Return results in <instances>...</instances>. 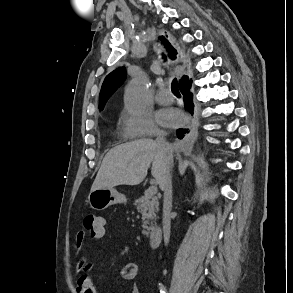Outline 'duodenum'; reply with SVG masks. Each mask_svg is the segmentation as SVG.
Wrapping results in <instances>:
<instances>
[{
	"mask_svg": "<svg viewBox=\"0 0 293 293\" xmlns=\"http://www.w3.org/2000/svg\"><path fill=\"white\" fill-rule=\"evenodd\" d=\"M162 227L158 224L149 231V245L152 249H156L161 241Z\"/></svg>",
	"mask_w": 293,
	"mask_h": 293,
	"instance_id": "obj_1",
	"label": "duodenum"
}]
</instances>
